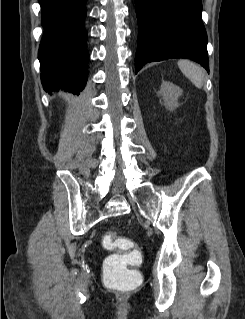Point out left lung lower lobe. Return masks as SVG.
Returning a JSON list of instances; mask_svg holds the SVG:
<instances>
[{
    "label": "left lung lower lobe",
    "mask_w": 245,
    "mask_h": 319,
    "mask_svg": "<svg viewBox=\"0 0 245 319\" xmlns=\"http://www.w3.org/2000/svg\"><path fill=\"white\" fill-rule=\"evenodd\" d=\"M136 73L148 62L189 58L209 72L201 0H135Z\"/></svg>",
    "instance_id": "0a47b994"
}]
</instances>
